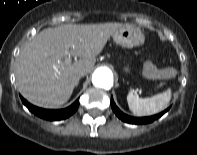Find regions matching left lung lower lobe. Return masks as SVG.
<instances>
[{"label": "left lung lower lobe", "instance_id": "1", "mask_svg": "<svg viewBox=\"0 0 197 155\" xmlns=\"http://www.w3.org/2000/svg\"><path fill=\"white\" fill-rule=\"evenodd\" d=\"M111 107L114 111V113L116 114V116L121 119L124 122L127 123H131V124H146V123H151L154 120L160 118L165 112H167L169 109H166L165 111L157 114V115H153V116H149V117H131L128 116L126 114H124L122 111H120L118 109V107L116 106V104L114 103L113 98L111 97Z\"/></svg>", "mask_w": 197, "mask_h": 155}]
</instances>
